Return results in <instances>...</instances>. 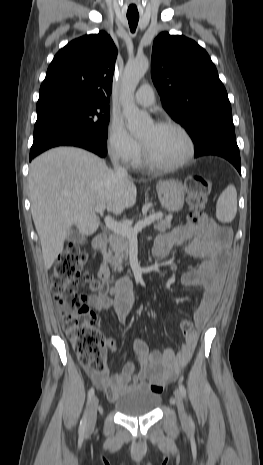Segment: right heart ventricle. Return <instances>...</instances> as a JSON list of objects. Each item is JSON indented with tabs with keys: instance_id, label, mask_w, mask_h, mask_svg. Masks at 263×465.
<instances>
[{
	"instance_id": "obj_1",
	"label": "right heart ventricle",
	"mask_w": 263,
	"mask_h": 465,
	"mask_svg": "<svg viewBox=\"0 0 263 465\" xmlns=\"http://www.w3.org/2000/svg\"><path fill=\"white\" fill-rule=\"evenodd\" d=\"M143 164V161L139 158V160L136 162V165L140 166Z\"/></svg>"
}]
</instances>
